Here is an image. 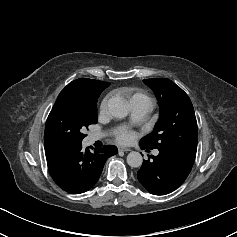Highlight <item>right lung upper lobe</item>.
Segmentation results:
<instances>
[{
	"label": "right lung upper lobe",
	"mask_w": 237,
	"mask_h": 237,
	"mask_svg": "<svg viewBox=\"0 0 237 237\" xmlns=\"http://www.w3.org/2000/svg\"><path fill=\"white\" fill-rule=\"evenodd\" d=\"M109 82L80 78L69 83L65 88L81 92L88 97H99L101 92L109 86Z\"/></svg>",
	"instance_id": "right-lung-upper-lobe-1"
}]
</instances>
